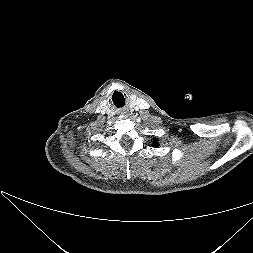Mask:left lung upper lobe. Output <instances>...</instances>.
Wrapping results in <instances>:
<instances>
[{
    "instance_id": "obj_1",
    "label": "left lung upper lobe",
    "mask_w": 253,
    "mask_h": 253,
    "mask_svg": "<svg viewBox=\"0 0 253 253\" xmlns=\"http://www.w3.org/2000/svg\"><path fill=\"white\" fill-rule=\"evenodd\" d=\"M153 143L155 144L154 147H157V146H158V143H157L156 140H154Z\"/></svg>"
}]
</instances>
